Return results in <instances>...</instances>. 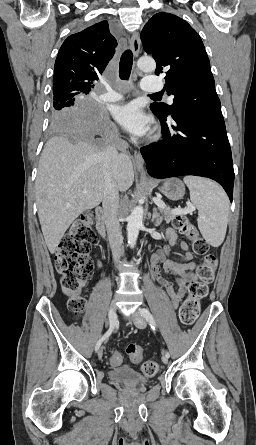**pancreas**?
Masks as SVG:
<instances>
[{"mask_svg": "<svg viewBox=\"0 0 256 445\" xmlns=\"http://www.w3.org/2000/svg\"><path fill=\"white\" fill-rule=\"evenodd\" d=\"M160 211H161L163 218L165 219L166 222H170V221L174 220L177 216L169 208L160 209Z\"/></svg>", "mask_w": 256, "mask_h": 445, "instance_id": "obj_1", "label": "pancreas"}]
</instances>
